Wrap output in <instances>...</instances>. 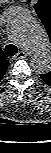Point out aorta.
Returning a JSON list of instances; mask_svg holds the SVG:
<instances>
[{
	"label": "aorta",
	"instance_id": "obj_1",
	"mask_svg": "<svg viewBox=\"0 0 51 153\" xmlns=\"http://www.w3.org/2000/svg\"><path fill=\"white\" fill-rule=\"evenodd\" d=\"M8 33L13 41L33 52L32 68L39 74L51 71V46L44 27L28 14H17L8 23Z\"/></svg>",
	"mask_w": 51,
	"mask_h": 153
}]
</instances>
